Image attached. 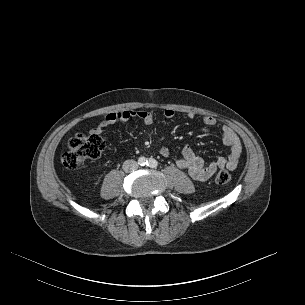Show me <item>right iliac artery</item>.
I'll return each mask as SVG.
<instances>
[{"label": "right iliac artery", "instance_id": "obj_1", "mask_svg": "<svg viewBox=\"0 0 305 305\" xmlns=\"http://www.w3.org/2000/svg\"><path fill=\"white\" fill-rule=\"evenodd\" d=\"M139 164L141 166L147 165V160L144 157L139 158Z\"/></svg>", "mask_w": 305, "mask_h": 305}]
</instances>
